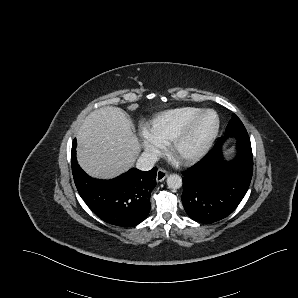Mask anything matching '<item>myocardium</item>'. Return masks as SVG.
Instances as JSON below:
<instances>
[{
    "label": "myocardium",
    "mask_w": 298,
    "mask_h": 298,
    "mask_svg": "<svg viewBox=\"0 0 298 298\" xmlns=\"http://www.w3.org/2000/svg\"><path fill=\"white\" fill-rule=\"evenodd\" d=\"M214 117V128L210 135L193 151L189 153H182L180 146L184 138L194 129L196 124L206 115ZM220 128V121L215 111L206 109L201 111L193 118L186 121L180 128H178L171 137L166 139L167 152L170 158L179 163H192L204 156L208 151L214 140L216 139Z\"/></svg>",
    "instance_id": "obj_1"
}]
</instances>
